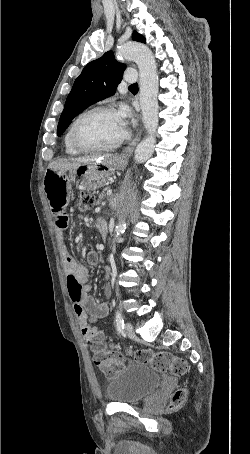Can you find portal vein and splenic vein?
Returning <instances> with one entry per match:
<instances>
[{
  "label": "portal vein and splenic vein",
  "instance_id": "1",
  "mask_svg": "<svg viewBox=\"0 0 250 454\" xmlns=\"http://www.w3.org/2000/svg\"><path fill=\"white\" fill-rule=\"evenodd\" d=\"M108 194H111V191H110V190L108 191Z\"/></svg>",
  "mask_w": 250,
  "mask_h": 454
}]
</instances>
